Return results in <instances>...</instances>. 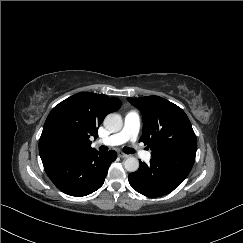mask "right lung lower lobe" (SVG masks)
I'll return each instance as SVG.
<instances>
[{
	"label": "right lung lower lobe",
	"instance_id": "1",
	"mask_svg": "<svg viewBox=\"0 0 243 243\" xmlns=\"http://www.w3.org/2000/svg\"><path fill=\"white\" fill-rule=\"evenodd\" d=\"M117 158L115 151L88 154L44 165L45 172L62 192L76 197L86 196L99 189L108 168Z\"/></svg>",
	"mask_w": 243,
	"mask_h": 243
}]
</instances>
